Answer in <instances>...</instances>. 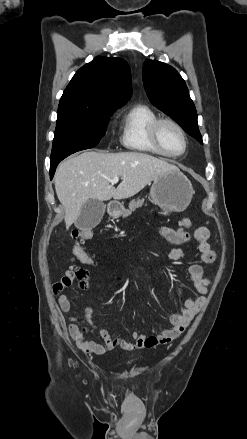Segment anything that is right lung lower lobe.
<instances>
[{
  "label": "right lung lower lobe",
  "instance_id": "right-lung-lower-lobe-1",
  "mask_svg": "<svg viewBox=\"0 0 247 439\" xmlns=\"http://www.w3.org/2000/svg\"><path fill=\"white\" fill-rule=\"evenodd\" d=\"M57 165H58V164H56V165H54V166H50V177H51V179H52V177H53V175H54V173H55V170H56Z\"/></svg>",
  "mask_w": 247,
  "mask_h": 439
}]
</instances>
